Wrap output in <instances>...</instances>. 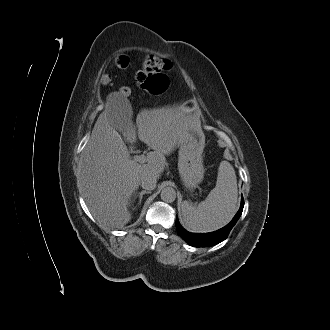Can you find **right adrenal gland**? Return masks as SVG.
Returning <instances> with one entry per match:
<instances>
[{
    "mask_svg": "<svg viewBox=\"0 0 330 330\" xmlns=\"http://www.w3.org/2000/svg\"><path fill=\"white\" fill-rule=\"evenodd\" d=\"M148 193H150V191L143 190V191H141V192H136V193L134 194V197L139 196V202H138V205L141 204V201H142L143 195H144V194H148Z\"/></svg>",
    "mask_w": 330,
    "mask_h": 330,
    "instance_id": "right-adrenal-gland-1",
    "label": "right adrenal gland"
}]
</instances>
